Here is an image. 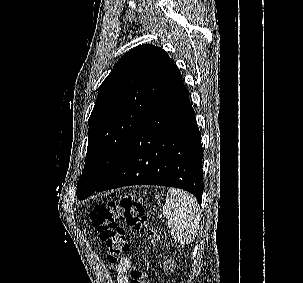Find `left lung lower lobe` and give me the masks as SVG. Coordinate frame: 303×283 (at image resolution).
I'll return each instance as SVG.
<instances>
[{
	"mask_svg": "<svg viewBox=\"0 0 303 283\" xmlns=\"http://www.w3.org/2000/svg\"><path fill=\"white\" fill-rule=\"evenodd\" d=\"M202 158L195 112L173 64L111 176L77 196L84 200L94 192L146 184L187 190L201 204Z\"/></svg>",
	"mask_w": 303,
	"mask_h": 283,
	"instance_id": "0a47b994",
	"label": "left lung lower lobe"
}]
</instances>
